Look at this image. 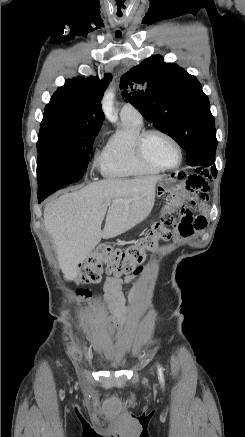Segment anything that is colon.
Returning <instances> with one entry per match:
<instances>
[{
  "instance_id": "1",
  "label": "colon",
  "mask_w": 245,
  "mask_h": 437,
  "mask_svg": "<svg viewBox=\"0 0 245 437\" xmlns=\"http://www.w3.org/2000/svg\"><path fill=\"white\" fill-rule=\"evenodd\" d=\"M171 234V230L166 229L160 219L137 245L125 250L112 245L98 247L82 264L78 281L83 284L96 283L101 279L103 272L113 276L139 273L143 270L140 264L145 258V251L154 250L160 241L169 240ZM78 294L86 298L90 292L87 289H80Z\"/></svg>"
}]
</instances>
